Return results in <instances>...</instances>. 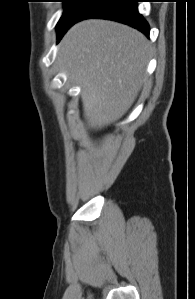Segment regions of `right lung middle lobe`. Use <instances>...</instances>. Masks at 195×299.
Wrapping results in <instances>:
<instances>
[{"instance_id":"1","label":"right lung middle lobe","mask_w":195,"mask_h":299,"mask_svg":"<svg viewBox=\"0 0 195 299\" xmlns=\"http://www.w3.org/2000/svg\"><path fill=\"white\" fill-rule=\"evenodd\" d=\"M94 0H64V14L59 20L56 28L58 40L62 34L75 20H77Z\"/></svg>"}]
</instances>
